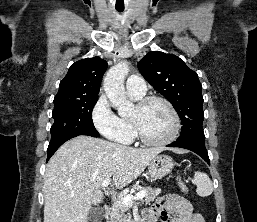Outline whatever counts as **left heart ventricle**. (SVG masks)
<instances>
[{
	"mask_svg": "<svg viewBox=\"0 0 257 222\" xmlns=\"http://www.w3.org/2000/svg\"><path fill=\"white\" fill-rule=\"evenodd\" d=\"M132 117L138 123L141 132L150 140H162L172 132V115L160 102L151 103L143 110L135 108Z\"/></svg>",
	"mask_w": 257,
	"mask_h": 222,
	"instance_id": "left-heart-ventricle-1",
	"label": "left heart ventricle"
}]
</instances>
